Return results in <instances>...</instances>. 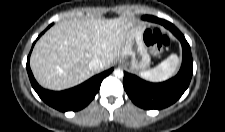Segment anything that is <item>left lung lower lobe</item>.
Instances as JSON below:
<instances>
[{
  "label": "left lung lower lobe",
  "mask_w": 225,
  "mask_h": 132,
  "mask_svg": "<svg viewBox=\"0 0 225 132\" xmlns=\"http://www.w3.org/2000/svg\"><path fill=\"white\" fill-rule=\"evenodd\" d=\"M143 19L163 25L180 40L183 49L182 66L175 77L162 83L146 82L124 72L123 85L137 106L148 110L162 109L175 103L189 86L193 74L191 49L184 35L172 23L154 16H143Z\"/></svg>",
  "instance_id": "1"
}]
</instances>
